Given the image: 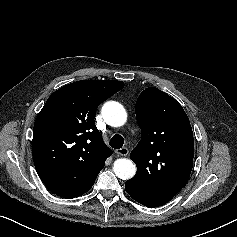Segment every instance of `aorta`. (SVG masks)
Wrapping results in <instances>:
<instances>
[{
    "mask_svg": "<svg viewBox=\"0 0 237 237\" xmlns=\"http://www.w3.org/2000/svg\"><path fill=\"white\" fill-rule=\"evenodd\" d=\"M102 116L105 122L113 127H120L127 120L126 110L116 101H109L103 105ZM113 170L118 178L128 180L135 175L136 165L130 159L120 158L114 162Z\"/></svg>",
    "mask_w": 237,
    "mask_h": 237,
    "instance_id": "762f6f07",
    "label": "aorta"
}]
</instances>
